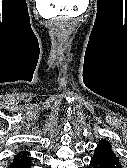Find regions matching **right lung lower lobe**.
I'll return each instance as SVG.
<instances>
[{"mask_svg":"<svg viewBox=\"0 0 127 168\" xmlns=\"http://www.w3.org/2000/svg\"><path fill=\"white\" fill-rule=\"evenodd\" d=\"M9 168H30V158L27 156L15 157Z\"/></svg>","mask_w":127,"mask_h":168,"instance_id":"right-lung-lower-lobe-1","label":"right lung lower lobe"}]
</instances>
